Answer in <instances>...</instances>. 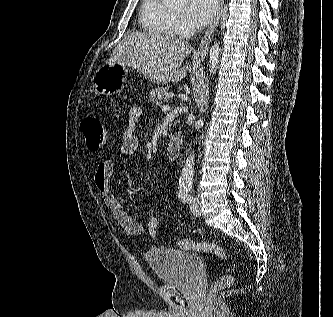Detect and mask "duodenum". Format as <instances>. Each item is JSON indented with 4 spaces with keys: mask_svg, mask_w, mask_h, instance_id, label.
Wrapping results in <instances>:
<instances>
[{
    "mask_svg": "<svg viewBox=\"0 0 333 317\" xmlns=\"http://www.w3.org/2000/svg\"><path fill=\"white\" fill-rule=\"evenodd\" d=\"M181 151V142L179 135H173L167 143L166 154L170 160L178 159Z\"/></svg>",
    "mask_w": 333,
    "mask_h": 317,
    "instance_id": "1",
    "label": "duodenum"
}]
</instances>
